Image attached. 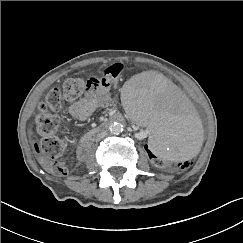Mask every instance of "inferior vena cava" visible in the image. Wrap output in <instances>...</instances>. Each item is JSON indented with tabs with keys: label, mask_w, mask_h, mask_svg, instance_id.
Masks as SVG:
<instances>
[{
	"label": "inferior vena cava",
	"mask_w": 243,
	"mask_h": 243,
	"mask_svg": "<svg viewBox=\"0 0 243 243\" xmlns=\"http://www.w3.org/2000/svg\"><path fill=\"white\" fill-rule=\"evenodd\" d=\"M106 136H107V132L101 131L100 133H98L96 135L95 141L98 142V141L102 140L103 138H105Z\"/></svg>",
	"instance_id": "obj_1"
}]
</instances>
